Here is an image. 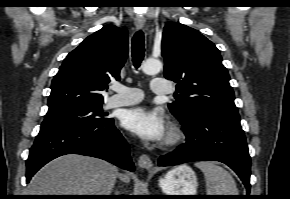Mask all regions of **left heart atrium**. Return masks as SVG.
<instances>
[{"label": "left heart atrium", "mask_w": 290, "mask_h": 199, "mask_svg": "<svg viewBox=\"0 0 290 199\" xmlns=\"http://www.w3.org/2000/svg\"><path fill=\"white\" fill-rule=\"evenodd\" d=\"M121 124L144 141H160L166 133V123L159 110L138 106L126 110Z\"/></svg>", "instance_id": "left-heart-atrium-1"}]
</instances>
